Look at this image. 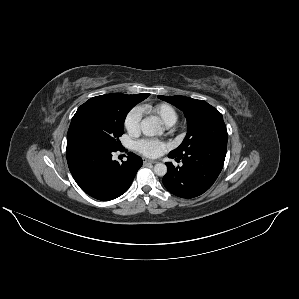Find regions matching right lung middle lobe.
Wrapping results in <instances>:
<instances>
[{
  "label": "right lung middle lobe",
  "instance_id": "dd1d6c3e",
  "mask_svg": "<svg viewBox=\"0 0 299 299\" xmlns=\"http://www.w3.org/2000/svg\"><path fill=\"white\" fill-rule=\"evenodd\" d=\"M139 102L129 95L99 103L85 102L71 120L67 145L90 142L118 149L126 115Z\"/></svg>",
  "mask_w": 299,
  "mask_h": 299
}]
</instances>
